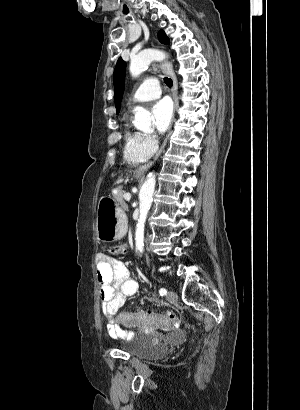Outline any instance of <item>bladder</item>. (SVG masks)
I'll list each match as a JSON object with an SVG mask.
<instances>
[{"label":"bladder","instance_id":"obj_1","mask_svg":"<svg viewBox=\"0 0 300 410\" xmlns=\"http://www.w3.org/2000/svg\"><path fill=\"white\" fill-rule=\"evenodd\" d=\"M127 350L131 356L144 359L166 353L167 346L163 342L133 341L128 345Z\"/></svg>","mask_w":300,"mask_h":410}]
</instances>
